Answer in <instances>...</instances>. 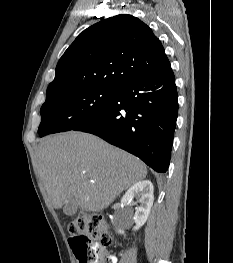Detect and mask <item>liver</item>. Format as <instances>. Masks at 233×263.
Listing matches in <instances>:
<instances>
[{
	"instance_id": "1",
	"label": "liver",
	"mask_w": 233,
	"mask_h": 263,
	"mask_svg": "<svg viewBox=\"0 0 233 263\" xmlns=\"http://www.w3.org/2000/svg\"><path fill=\"white\" fill-rule=\"evenodd\" d=\"M40 177L55 209L70 198L82 210L100 212L124 190L143 180V162L97 136L66 132L38 147Z\"/></svg>"
}]
</instances>
